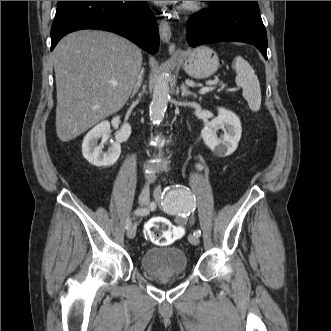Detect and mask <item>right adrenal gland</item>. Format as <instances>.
Wrapping results in <instances>:
<instances>
[{"mask_svg": "<svg viewBox=\"0 0 331 331\" xmlns=\"http://www.w3.org/2000/svg\"><path fill=\"white\" fill-rule=\"evenodd\" d=\"M143 76H144V69L142 68L137 77V81L135 82V85L133 87V91H132L130 98H133L137 94L139 88H141V85L143 82Z\"/></svg>", "mask_w": 331, "mask_h": 331, "instance_id": "right-adrenal-gland-1", "label": "right adrenal gland"}]
</instances>
